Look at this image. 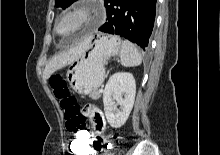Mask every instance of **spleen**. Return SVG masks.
I'll return each instance as SVG.
<instances>
[{
	"label": "spleen",
	"instance_id": "3e777b00",
	"mask_svg": "<svg viewBox=\"0 0 220 155\" xmlns=\"http://www.w3.org/2000/svg\"><path fill=\"white\" fill-rule=\"evenodd\" d=\"M121 65L124 67L138 66L142 62V57L137 48L129 42L124 40L120 50Z\"/></svg>",
	"mask_w": 220,
	"mask_h": 155
}]
</instances>
